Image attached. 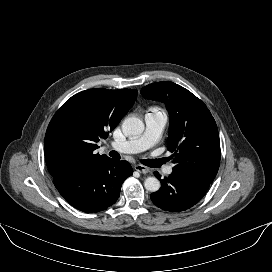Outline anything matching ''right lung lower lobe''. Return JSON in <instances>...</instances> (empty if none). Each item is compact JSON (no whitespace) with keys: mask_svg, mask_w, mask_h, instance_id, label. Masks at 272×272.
<instances>
[{"mask_svg":"<svg viewBox=\"0 0 272 272\" xmlns=\"http://www.w3.org/2000/svg\"><path fill=\"white\" fill-rule=\"evenodd\" d=\"M130 175L132 167L128 162L106 158L89 168L56 176L53 183L73 207L92 213L113 205Z\"/></svg>","mask_w":272,"mask_h":272,"instance_id":"obj_1","label":"right lung lower lobe"}]
</instances>
